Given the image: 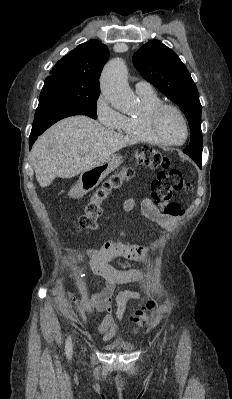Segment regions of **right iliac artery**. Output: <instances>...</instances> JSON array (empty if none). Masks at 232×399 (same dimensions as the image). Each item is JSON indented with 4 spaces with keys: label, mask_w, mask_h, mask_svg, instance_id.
I'll list each match as a JSON object with an SVG mask.
<instances>
[{
    "label": "right iliac artery",
    "mask_w": 232,
    "mask_h": 399,
    "mask_svg": "<svg viewBox=\"0 0 232 399\" xmlns=\"http://www.w3.org/2000/svg\"><path fill=\"white\" fill-rule=\"evenodd\" d=\"M66 356L68 359H71L72 355V344H71V337L69 336L66 341Z\"/></svg>",
    "instance_id": "82829eb1"
}]
</instances>
